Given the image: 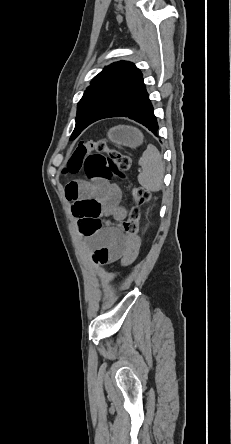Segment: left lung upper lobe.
I'll return each mask as SVG.
<instances>
[{"mask_svg": "<svg viewBox=\"0 0 231 444\" xmlns=\"http://www.w3.org/2000/svg\"><path fill=\"white\" fill-rule=\"evenodd\" d=\"M142 73L131 62L106 66L94 77L78 103L74 140L91 123L115 115L143 85Z\"/></svg>", "mask_w": 231, "mask_h": 444, "instance_id": "5c2ea615", "label": "left lung upper lobe"}]
</instances>
